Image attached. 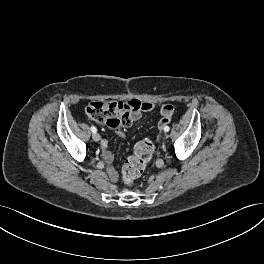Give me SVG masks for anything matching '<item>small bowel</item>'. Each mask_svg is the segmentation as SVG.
<instances>
[{
	"label": "small bowel",
	"instance_id": "1",
	"mask_svg": "<svg viewBox=\"0 0 264 264\" xmlns=\"http://www.w3.org/2000/svg\"><path fill=\"white\" fill-rule=\"evenodd\" d=\"M123 104L130 110V116H131L132 122L140 119L144 112L151 111L155 109L156 107L159 108L161 119H167L166 124H168L171 121V118L174 113V107L169 104L157 106L156 104L152 102H141L137 99H132L130 101L124 102ZM117 132L121 134V131L119 129H117ZM101 149L103 151V158L108 165L107 167L108 176L111 181H116L118 178V175H117V172L110 166V163L113 160V154L111 151L108 150L107 141L102 142Z\"/></svg>",
	"mask_w": 264,
	"mask_h": 264
}]
</instances>
